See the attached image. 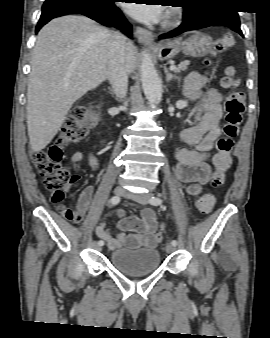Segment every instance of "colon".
Returning a JSON list of instances; mask_svg holds the SVG:
<instances>
[{
  "label": "colon",
  "mask_w": 270,
  "mask_h": 338,
  "mask_svg": "<svg viewBox=\"0 0 270 338\" xmlns=\"http://www.w3.org/2000/svg\"><path fill=\"white\" fill-rule=\"evenodd\" d=\"M234 44V36L225 33L214 40L213 50L223 52L231 49ZM206 65L210 66V62L206 61ZM238 84L237 68L228 67L221 81L226 90L223 132L216 141V151L212 158L214 187L223 184L225 175L232 166V150L244 119V98L243 93L237 89ZM90 120L91 116L85 107H76L64 122L53 143L44 150L31 153L32 163L43 177L45 188L51 193L52 202L69 221H76V211L64 207L62 203L65 194L79 177L72 173L71 168L62 164L64 150L87 136ZM214 204L215 197L210 193L199 195L195 200V208L202 214H209ZM125 226L128 229H137L140 224L132 221Z\"/></svg>",
  "instance_id": "1"
}]
</instances>
